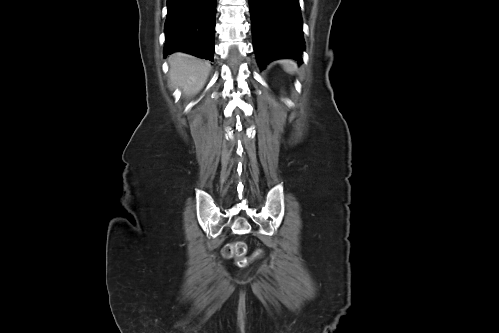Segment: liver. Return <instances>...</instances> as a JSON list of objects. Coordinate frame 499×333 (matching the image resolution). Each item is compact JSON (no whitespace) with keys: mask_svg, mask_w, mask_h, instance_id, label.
I'll return each mask as SVG.
<instances>
[{"mask_svg":"<svg viewBox=\"0 0 499 333\" xmlns=\"http://www.w3.org/2000/svg\"><path fill=\"white\" fill-rule=\"evenodd\" d=\"M170 80L187 96L197 94L206 83L211 65L186 53H174L169 59Z\"/></svg>","mask_w":499,"mask_h":333,"instance_id":"1","label":"liver"}]
</instances>
